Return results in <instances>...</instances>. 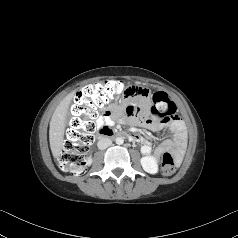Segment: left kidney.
<instances>
[{
	"mask_svg": "<svg viewBox=\"0 0 238 238\" xmlns=\"http://www.w3.org/2000/svg\"><path fill=\"white\" fill-rule=\"evenodd\" d=\"M143 169L150 174H156L158 172V162L154 156L147 155L140 160Z\"/></svg>",
	"mask_w": 238,
	"mask_h": 238,
	"instance_id": "left-kidney-1",
	"label": "left kidney"
}]
</instances>
